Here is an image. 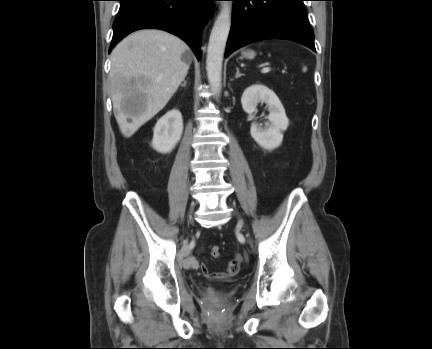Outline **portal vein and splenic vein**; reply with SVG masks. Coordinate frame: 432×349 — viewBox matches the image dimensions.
<instances>
[{
    "label": "portal vein and splenic vein",
    "mask_w": 432,
    "mask_h": 349,
    "mask_svg": "<svg viewBox=\"0 0 432 349\" xmlns=\"http://www.w3.org/2000/svg\"><path fill=\"white\" fill-rule=\"evenodd\" d=\"M270 67H264L263 69H262V73H268V72H270Z\"/></svg>",
    "instance_id": "1"
}]
</instances>
